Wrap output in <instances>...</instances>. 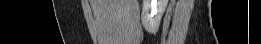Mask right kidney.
Here are the masks:
<instances>
[{"instance_id":"obj_1","label":"right kidney","mask_w":261,"mask_h":44,"mask_svg":"<svg viewBox=\"0 0 261 44\" xmlns=\"http://www.w3.org/2000/svg\"><path fill=\"white\" fill-rule=\"evenodd\" d=\"M168 0H143L141 20L149 33H155L160 25Z\"/></svg>"}]
</instances>
